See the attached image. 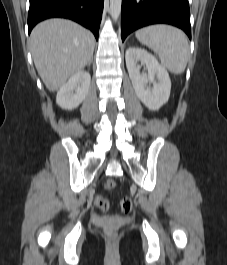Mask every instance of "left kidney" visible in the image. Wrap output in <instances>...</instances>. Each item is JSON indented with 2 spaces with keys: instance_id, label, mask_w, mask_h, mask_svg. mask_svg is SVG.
<instances>
[{
  "instance_id": "obj_1",
  "label": "left kidney",
  "mask_w": 227,
  "mask_h": 265,
  "mask_svg": "<svg viewBox=\"0 0 227 265\" xmlns=\"http://www.w3.org/2000/svg\"><path fill=\"white\" fill-rule=\"evenodd\" d=\"M125 59L137 97L148 109L159 110L167 103L170 96L171 80L167 70L153 55L141 48H128ZM139 61L146 67L147 75L140 74L137 65ZM147 84H152L153 87H148Z\"/></svg>"
}]
</instances>
